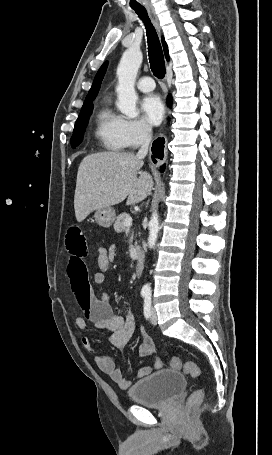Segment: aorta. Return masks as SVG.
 I'll return each instance as SVG.
<instances>
[{
    "mask_svg": "<svg viewBox=\"0 0 272 455\" xmlns=\"http://www.w3.org/2000/svg\"><path fill=\"white\" fill-rule=\"evenodd\" d=\"M143 55L139 48L131 47L128 48L122 55V58L117 67L118 84L116 86V92L118 94L117 108L120 112L126 115L130 119L138 117L139 112L136 107L138 96L135 92V80L138 69L142 63ZM159 218L158 213L155 210L152 213L151 220L149 222V237L148 246L153 248L157 241L159 233ZM142 291L150 292L151 288L149 284H145Z\"/></svg>",
    "mask_w": 272,
    "mask_h": 455,
    "instance_id": "aorta-1",
    "label": "aorta"
}]
</instances>
